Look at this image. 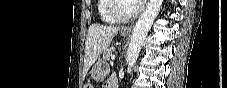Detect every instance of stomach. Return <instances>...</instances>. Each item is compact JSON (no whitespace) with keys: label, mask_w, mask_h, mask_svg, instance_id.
<instances>
[{"label":"stomach","mask_w":227,"mask_h":88,"mask_svg":"<svg viewBox=\"0 0 227 88\" xmlns=\"http://www.w3.org/2000/svg\"><path fill=\"white\" fill-rule=\"evenodd\" d=\"M121 35L126 37L128 33L122 31ZM90 74L95 81H101L107 74V68L102 61H99L92 67Z\"/></svg>","instance_id":"obj_1"}]
</instances>
